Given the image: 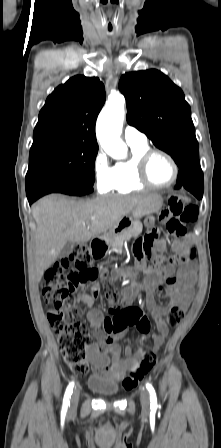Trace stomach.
<instances>
[{
	"mask_svg": "<svg viewBox=\"0 0 221 448\" xmlns=\"http://www.w3.org/2000/svg\"><path fill=\"white\" fill-rule=\"evenodd\" d=\"M163 205V199L160 195L153 194L145 202L141 203L131 215L124 217L116 227L109 230L107 238L113 241L115 237L121 235L130 228L140 218L157 212Z\"/></svg>",
	"mask_w": 221,
	"mask_h": 448,
	"instance_id": "obj_1",
	"label": "stomach"
}]
</instances>
